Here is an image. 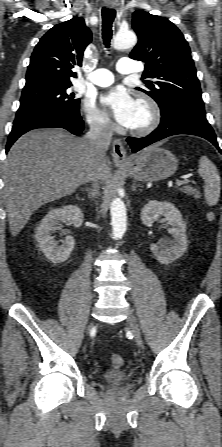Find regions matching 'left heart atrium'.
Returning <instances> with one entry per match:
<instances>
[{"label":"left heart atrium","mask_w":222,"mask_h":447,"mask_svg":"<svg viewBox=\"0 0 222 447\" xmlns=\"http://www.w3.org/2000/svg\"><path fill=\"white\" fill-rule=\"evenodd\" d=\"M101 103L110 109L120 125L131 127L137 103L125 89L110 90L101 97Z\"/></svg>","instance_id":"left-heart-atrium-1"}]
</instances>
